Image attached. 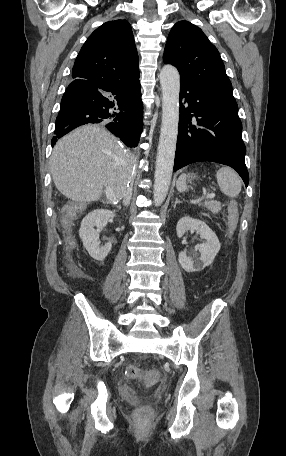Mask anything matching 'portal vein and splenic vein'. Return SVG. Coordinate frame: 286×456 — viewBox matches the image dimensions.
Listing matches in <instances>:
<instances>
[{"mask_svg": "<svg viewBox=\"0 0 286 456\" xmlns=\"http://www.w3.org/2000/svg\"><path fill=\"white\" fill-rule=\"evenodd\" d=\"M105 192H106L107 198H108L113 204H116V203H117L116 197H115V195H114L112 189L106 188ZM214 197H215V194H214V193H208V194H207V198H209V199H213Z\"/></svg>", "mask_w": 286, "mask_h": 456, "instance_id": "18ae733b", "label": "portal vein and splenic vein"}]
</instances>
